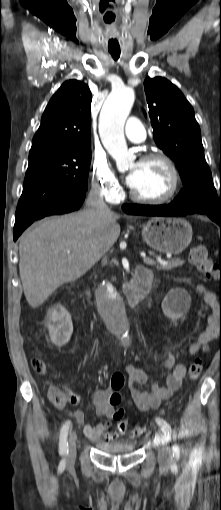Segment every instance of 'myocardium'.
Here are the masks:
<instances>
[{
  "mask_svg": "<svg viewBox=\"0 0 221 510\" xmlns=\"http://www.w3.org/2000/svg\"><path fill=\"white\" fill-rule=\"evenodd\" d=\"M151 160H161L167 166L171 174V186L168 192L157 198H147L137 195L132 188L129 190L130 198L137 203L145 205H161L171 201L178 193L180 187V174L175 162L167 154L162 152H150L145 154L140 161L146 162Z\"/></svg>",
  "mask_w": 221,
  "mask_h": 510,
  "instance_id": "myocardium-1",
  "label": "myocardium"
}]
</instances>
